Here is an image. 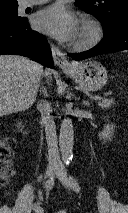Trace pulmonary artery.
Instances as JSON below:
<instances>
[{"label":"pulmonary artery","mask_w":128,"mask_h":213,"mask_svg":"<svg viewBox=\"0 0 128 213\" xmlns=\"http://www.w3.org/2000/svg\"><path fill=\"white\" fill-rule=\"evenodd\" d=\"M47 1H49V0H21V7L27 8V7H31L34 5L45 3Z\"/></svg>","instance_id":"1"}]
</instances>
